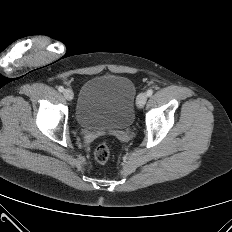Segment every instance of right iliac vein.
I'll return each mask as SVG.
<instances>
[{"instance_id": "right-iliac-vein-1", "label": "right iliac vein", "mask_w": 232, "mask_h": 232, "mask_svg": "<svg viewBox=\"0 0 232 232\" xmlns=\"http://www.w3.org/2000/svg\"><path fill=\"white\" fill-rule=\"evenodd\" d=\"M63 95H64V97H65L67 100H72L73 97H74V93H73V91L70 90V89L64 90Z\"/></svg>"}]
</instances>
